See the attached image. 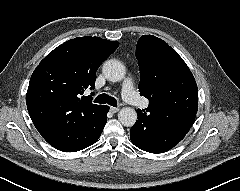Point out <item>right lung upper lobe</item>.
Here are the masks:
<instances>
[{
    "mask_svg": "<svg viewBox=\"0 0 240 191\" xmlns=\"http://www.w3.org/2000/svg\"><path fill=\"white\" fill-rule=\"evenodd\" d=\"M119 42L99 37L68 40L49 53L33 72L26 94V104L37 130L57 120L79 121L102 105L91 96H81L94 89L96 71L112 54Z\"/></svg>",
    "mask_w": 240,
    "mask_h": 191,
    "instance_id": "cb5924a9",
    "label": "right lung upper lobe"
}]
</instances>
